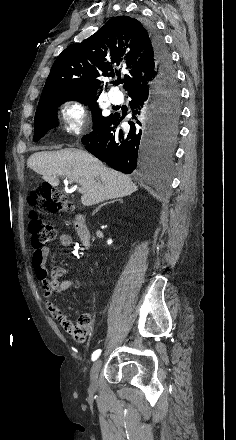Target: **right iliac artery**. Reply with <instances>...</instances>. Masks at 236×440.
<instances>
[{"mask_svg":"<svg viewBox=\"0 0 236 440\" xmlns=\"http://www.w3.org/2000/svg\"><path fill=\"white\" fill-rule=\"evenodd\" d=\"M100 354H101V349L94 351L92 354V361H95L100 356Z\"/></svg>","mask_w":236,"mask_h":440,"instance_id":"obj_1","label":"right iliac artery"}]
</instances>
